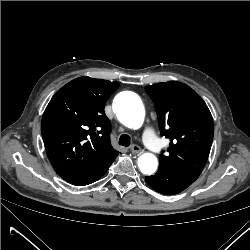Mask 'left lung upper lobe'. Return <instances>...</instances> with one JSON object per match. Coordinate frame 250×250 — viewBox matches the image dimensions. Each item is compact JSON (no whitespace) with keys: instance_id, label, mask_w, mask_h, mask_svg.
<instances>
[{"instance_id":"left-lung-upper-lobe-1","label":"left lung upper lobe","mask_w":250,"mask_h":250,"mask_svg":"<svg viewBox=\"0 0 250 250\" xmlns=\"http://www.w3.org/2000/svg\"><path fill=\"white\" fill-rule=\"evenodd\" d=\"M145 89L155 104L161 135L170 139L168 154H160L159 167L203 169L214 133L206 103L192 88L178 81Z\"/></svg>"}]
</instances>
